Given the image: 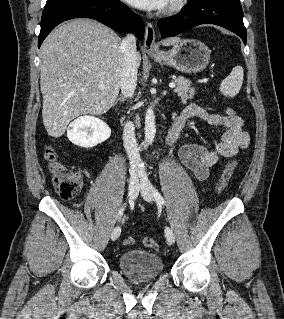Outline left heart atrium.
Listing matches in <instances>:
<instances>
[{
    "instance_id": "obj_1",
    "label": "left heart atrium",
    "mask_w": 284,
    "mask_h": 319,
    "mask_svg": "<svg viewBox=\"0 0 284 319\" xmlns=\"http://www.w3.org/2000/svg\"><path fill=\"white\" fill-rule=\"evenodd\" d=\"M130 5L143 10H157L164 8L169 0H125Z\"/></svg>"
}]
</instances>
